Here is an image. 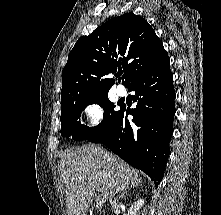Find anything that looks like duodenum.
Segmentation results:
<instances>
[{
	"label": "duodenum",
	"mask_w": 221,
	"mask_h": 215,
	"mask_svg": "<svg viewBox=\"0 0 221 215\" xmlns=\"http://www.w3.org/2000/svg\"><path fill=\"white\" fill-rule=\"evenodd\" d=\"M81 215H88V214H86V213H83V214H81ZM98 215V214H97Z\"/></svg>",
	"instance_id": "410a0bca"
}]
</instances>
